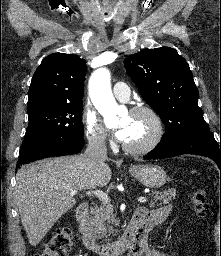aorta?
<instances>
[{
	"label": "aorta",
	"mask_w": 221,
	"mask_h": 256,
	"mask_svg": "<svg viewBox=\"0 0 221 256\" xmlns=\"http://www.w3.org/2000/svg\"><path fill=\"white\" fill-rule=\"evenodd\" d=\"M110 80V72L106 68L94 71L89 80L90 98L106 123L109 119H115L119 112V106L111 91Z\"/></svg>",
	"instance_id": "1"
}]
</instances>
